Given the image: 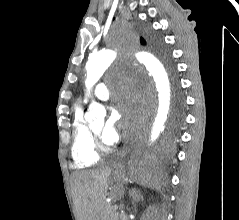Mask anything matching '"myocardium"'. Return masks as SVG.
<instances>
[{"instance_id": "myocardium-1", "label": "myocardium", "mask_w": 239, "mask_h": 220, "mask_svg": "<svg viewBox=\"0 0 239 220\" xmlns=\"http://www.w3.org/2000/svg\"><path fill=\"white\" fill-rule=\"evenodd\" d=\"M92 135L94 137L95 148L98 154H106L109 153L112 149L110 146L105 144L99 137V134L91 128Z\"/></svg>"}]
</instances>
